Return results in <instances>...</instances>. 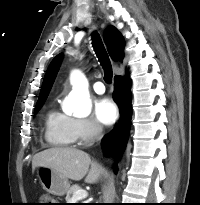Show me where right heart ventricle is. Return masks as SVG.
Returning a JSON list of instances; mask_svg holds the SVG:
<instances>
[{
    "label": "right heart ventricle",
    "instance_id": "obj_1",
    "mask_svg": "<svg viewBox=\"0 0 200 205\" xmlns=\"http://www.w3.org/2000/svg\"><path fill=\"white\" fill-rule=\"evenodd\" d=\"M44 136L52 146H72L75 140L71 128V117L56 110H49L45 117Z\"/></svg>",
    "mask_w": 200,
    "mask_h": 205
}]
</instances>
